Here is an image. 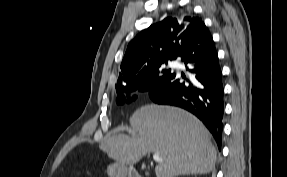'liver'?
Wrapping results in <instances>:
<instances>
[{"instance_id": "liver-1", "label": "liver", "mask_w": 287, "mask_h": 177, "mask_svg": "<svg viewBox=\"0 0 287 177\" xmlns=\"http://www.w3.org/2000/svg\"><path fill=\"white\" fill-rule=\"evenodd\" d=\"M133 136L114 134L100 148L119 163L133 166L148 153H159L156 177L207 174L217 153L205 126L189 112L171 106H142L130 118Z\"/></svg>"}]
</instances>
